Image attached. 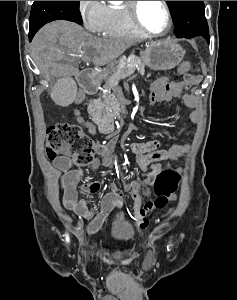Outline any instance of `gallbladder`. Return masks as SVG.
Wrapping results in <instances>:
<instances>
[{
  "label": "gallbladder",
  "instance_id": "gallbladder-1",
  "mask_svg": "<svg viewBox=\"0 0 237 300\" xmlns=\"http://www.w3.org/2000/svg\"><path fill=\"white\" fill-rule=\"evenodd\" d=\"M74 80V76H59V82L51 89L52 100L56 105H73L77 93Z\"/></svg>",
  "mask_w": 237,
  "mask_h": 300
}]
</instances>
